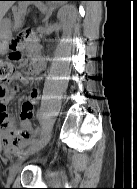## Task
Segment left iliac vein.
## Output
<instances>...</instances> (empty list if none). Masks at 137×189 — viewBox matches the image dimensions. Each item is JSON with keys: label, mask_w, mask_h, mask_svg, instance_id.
I'll return each instance as SVG.
<instances>
[{"label": "left iliac vein", "mask_w": 137, "mask_h": 189, "mask_svg": "<svg viewBox=\"0 0 137 189\" xmlns=\"http://www.w3.org/2000/svg\"><path fill=\"white\" fill-rule=\"evenodd\" d=\"M51 139V132L49 131L37 144H35L32 148L28 149L24 155H22L18 161L11 167L9 171V176L7 179L8 184H11L14 181V178L19 170L20 165L22 162L28 158L30 155L38 152L42 148H44Z\"/></svg>", "instance_id": "1"}]
</instances>
